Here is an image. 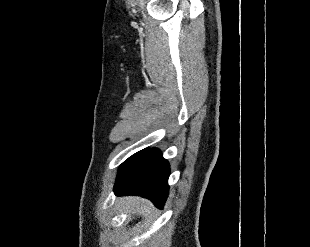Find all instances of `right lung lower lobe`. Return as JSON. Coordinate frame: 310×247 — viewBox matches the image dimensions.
Here are the masks:
<instances>
[{"label":"right lung lower lobe","mask_w":310,"mask_h":247,"mask_svg":"<svg viewBox=\"0 0 310 247\" xmlns=\"http://www.w3.org/2000/svg\"><path fill=\"white\" fill-rule=\"evenodd\" d=\"M169 164L157 149H144L128 158L119 168L116 195H139L162 208L168 195Z\"/></svg>","instance_id":"98d812e1"}]
</instances>
